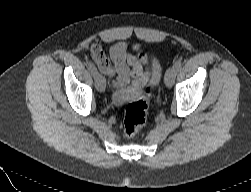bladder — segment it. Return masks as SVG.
Listing matches in <instances>:
<instances>
[{"label": "bladder", "mask_w": 251, "mask_h": 192, "mask_svg": "<svg viewBox=\"0 0 251 192\" xmlns=\"http://www.w3.org/2000/svg\"><path fill=\"white\" fill-rule=\"evenodd\" d=\"M162 77V65L158 59L154 58L151 62V69H150V78L148 81V85L152 88L159 84L160 79ZM112 102L120 106L127 101V96L120 90H114L112 92Z\"/></svg>", "instance_id": "bladder-1"}]
</instances>
